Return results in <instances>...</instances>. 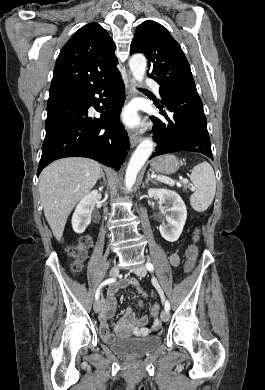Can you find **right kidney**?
Wrapping results in <instances>:
<instances>
[{
  "label": "right kidney",
  "instance_id": "right-kidney-1",
  "mask_svg": "<svg viewBox=\"0 0 265 390\" xmlns=\"http://www.w3.org/2000/svg\"><path fill=\"white\" fill-rule=\"evenodd\" d=\"M98 191L94 190L85 195L72 216V227L76 233H83L91 222L92 202L97 197Z\"/></svg>",
  "mask_w": 265,
  "mask_h": 390
}]
</instances>
